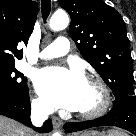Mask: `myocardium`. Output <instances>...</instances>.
Segmentation results:
<instances>
[{
    "instance_id": "1",
    "label": "myocardium",
    "mask_w": 136,
    "mask_h": 136,
    "mask_svg": "<svg viewBox=\"0 0 136 136\" xmlns=\"http://www.w3.org/2000/svg\"><path fill=\"white\" fill-rule=\"evenodd\" d=\"M88 83L94 86L100 94V102L98 106L89 111H79L78 115L84 119H95L104 115L111 105V94L106 84L98 78H90Z\"/></svg>"
}]
</instances>
